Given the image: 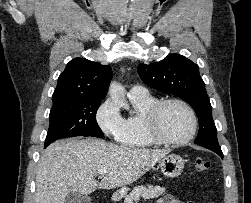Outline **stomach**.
<instances>
[{"label": "stomach", "mask_w": 251, "mask_h": 203, "mask_svg": "<svg viewBox=\"0 0 251 203\" xmlns=\"http://www.w3.org/2000/svg\"><path fill=\"white\" fill-rule=\"evenodd\" d=\"M159 167L161 172L168 178H174L179 176L184 169V160L176 155L170 154L165 156L159 161ZM128 192L127 187H122L117 192V195L123 197Z\"/></svg>", "instance_id": "obj_1"}]
</instances>
